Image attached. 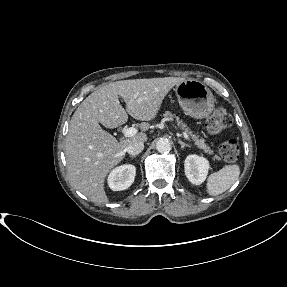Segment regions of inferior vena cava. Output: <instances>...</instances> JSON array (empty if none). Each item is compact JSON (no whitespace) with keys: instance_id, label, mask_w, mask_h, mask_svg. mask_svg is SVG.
I'll list each match as a JSON object with an SVG mask.
<instances>
[{"instance_id":"602c4592","label":"inferior vena cava","mask_w":287,"mask_h":287,"mask_svg":"<svg viewBox=\"0 0 287 287\" xmlns=\"http://www.w3.org/2000/svg\"><path fill=\"white\" fill-rule=\"evenodd\" d=\"M144 149V143L142 141H132L126 148V151L130 155H138L140 154Z\"/></svg>"}]
</instances>
